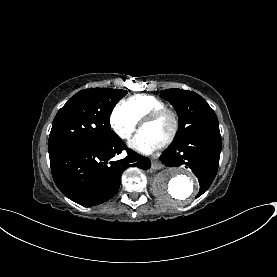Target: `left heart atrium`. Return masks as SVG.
<instances>
[{"label":"left heart atrium","mask_w":277,"mask_h":277,"mask_svg":"<svg viewBox=\"0 0 277 277\" xmlns=\"http://www.w3.org/2000/svg\"><path fill=\"white\" fill-rule=\"evenodd\" d=\"M132 147L142 153H148L160 146V142L153 139L145 131L141 130L131 143Z\"/></svg>","instance_id":"obj_1"}]
</instances>
